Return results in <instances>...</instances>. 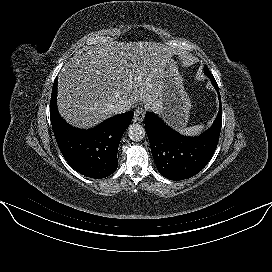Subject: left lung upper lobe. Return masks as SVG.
Wrapping results in <instances>:
<instances>
[{"label": "left lung upper lobe", "mask_w": 272, "mask_h": 272, "mask_svg": "<svg viewBox=\"0 0 272 272\" xmlns=\"http://www.w3.org/2000/svg\"><path fill=\"white\" fill-rule=\"evenodd\" d=\"M204 73L207 75V76H211L212 74L210 73V71L208 70L207 66L204 67Z\"/></svg>", "instance_id": "obj_1"}]
</instances>
